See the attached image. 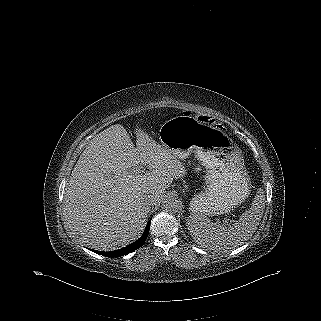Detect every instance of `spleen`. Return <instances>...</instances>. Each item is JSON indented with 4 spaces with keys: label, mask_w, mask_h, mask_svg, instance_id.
Returning a JSON list of instances; mask_svg holds the SVG:
<instances>
[{
    "label": "spleen",
    "mask_w": 321,
    "mask_h": 321,
    "mask_svg": "<svg viewBox=\"0 0 321 321\" xmlns=\"http://www.w3.org/2000/svg\"><path fill=\"white\" fill-rule=\"evenodd\" d=\"M265 209L262 190L255 196L249 210L230 226L213 223L202 215H190L187 227L197 244L215 252L234 249L244 243L257 230Z\"/></svg>",
    "instance_id": "obj_1"
}]
</instances>
